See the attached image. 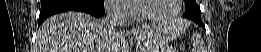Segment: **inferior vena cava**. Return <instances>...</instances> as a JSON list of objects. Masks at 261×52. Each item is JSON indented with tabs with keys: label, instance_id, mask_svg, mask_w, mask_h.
<instances>
[{
	"label": "inferior vena cava",
	"instance_id": "obj_1",
	"mask_svg": "<svg viewBox=\"0 0 261 52\" xmlns=\"http://www.w3.org/2000/svg\"><path fill=\"white\" fill-rule=\"evenodd\" d=\"M106 17L104 24L109 31H115L116 28L121 27L124 23V19L121 14L119 3L111 2L105 6Z\"/></svg>",
	"mask_w": 261,
	"mask_h": 52
}]
</instances>
